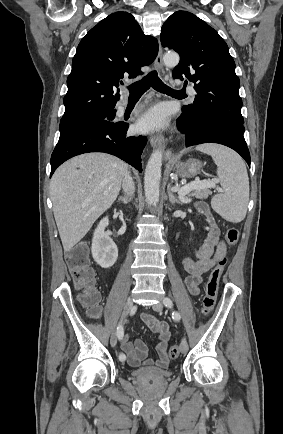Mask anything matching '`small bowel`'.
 Wrapping results in <instances>:
<instances>
[{
	"mask_svg": "<svg viewBox=\"0 0 283 434\" xmlns=\"http://www.w3.org/2000/svg\"><path fill=\"white\" fill-rule=\"evenodd\" d=\"M197 210L202 213L209 224L208 234L202 246L196 251V259L184 258L182 261L183 268L186 272L184 284L192 295L199 293V285L202 282L203 275L208 272L217 261L225 258L226 244L220 238V230L215 222L214 217L204 202L196 204ZM142 321L150 328V330L158 335V344L156 345L157 360L147 357V345L141 340H130L127 335L120 340V347L127 357L128 363L137 367L157 366L165 369L169 365V357L167 354L168 341L170 339L169 326L162 321L157 320L151 314L144 313Z\"/></svg>",
	"mask_w": 283,
	"mask_h": 434,
	"instance_id": "small-bowel-1",
	"label": "small bowel"
}]
</instances>
